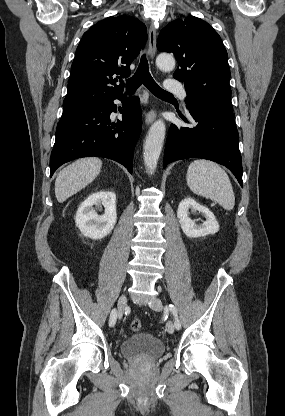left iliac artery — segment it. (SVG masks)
I'll list each match as a JSON object with an SVG mask.
<instances>
[{
	"label": "left iliac artery",
	"instance_id": "1",
	"mask_svg": "<svg viewBox=\"0 0 285 416\" xmlns=\"http://www.w3.org/2000/svg\"><path fill=\"white\" fill-rule=\"evenodd\" d=\"M166 309L169 310L174 315V317H175V323H174L175 328L179 329L178 326L181 327V323L178 319V314H177L176 307L173 304H169L168 306H166Z\"/></svg>",
	"mask_w": 285,
	"mask_h": 416
}]
</instances>
